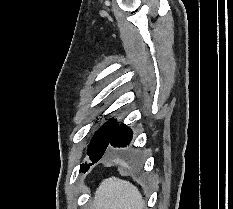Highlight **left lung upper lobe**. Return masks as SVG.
<instances>
[{
  "mask_svg": "<svg viewBox=\"0 0 233 209\" xmlns=\"http://www.w3.org/2000/svg\"><path fill=\"white\" fill-rule=\"evenodd\" d=\"M117 127L116 121L110 119L95 133L88 147L87 153L89 157L101 158L103 156Z\"/></svg>",
  "mask_w": 233,
  "mask_h": 209,
  "instance_id": "1",
  "label": "left lung upper lobe"
}]
</instances>
